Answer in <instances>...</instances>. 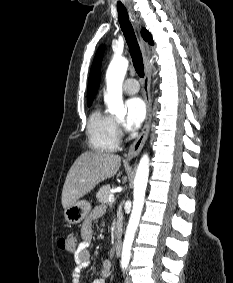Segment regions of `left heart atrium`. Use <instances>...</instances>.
<instances>
[{
  "label": "left heart atrium",
  "instance_id": "left-heart-atrium-1",
  "mask_svg": "<svg viewBox=\"0 0 233 283\" xmlns=\"http://www.w3.org/2000/svg\"><path fill=\"white\" fill-rule=\"evenodd\" d=\"M126 127L129 130L137 129L145 119L146 106L140 97H131L126 103Z\"/></svg>",
  "mask_w": 233,
  "mask_h": 283
}]
</instances>
